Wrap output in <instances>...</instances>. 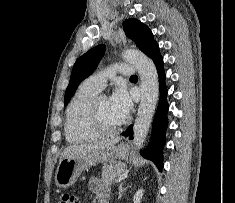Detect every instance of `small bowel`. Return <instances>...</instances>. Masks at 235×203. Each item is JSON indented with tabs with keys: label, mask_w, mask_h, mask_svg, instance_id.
Masks as SVG:
<instances>
[{
	"label": "small bowel",
	"mask_w": 235,
	"mask_h": 203,
	"mask_svg": "<svg viewBox=\"0 0 235 203\" xmlns=\"http://www.w3.org/2000/svg\"><path fill=\"white\" fill-rule=\"evenodd\" d=\"M89 189L98 197L99 203L106 201L109 195L108 188L98 178H92L89 181Z\"/></svg>",
	"instance_id": "small-bowel-1"
}]
</instances>
